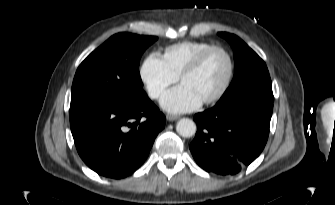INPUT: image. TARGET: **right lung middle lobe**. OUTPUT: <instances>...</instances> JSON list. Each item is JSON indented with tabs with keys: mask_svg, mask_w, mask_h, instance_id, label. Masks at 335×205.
<instances>
[{
	"mask_svg": "<svg viewBox=\"0 0 335 205\" xmlns=\"http://www.w3.org/2000/svg\"><path fill=\"white\" fill-rule=\"evenodd\" d=\"M155 36L118 33L94 50L78 67L71 105L88 100L129 101L144 94L139 73L141 55Z\"/></svg>",
	"mask_w": 335,
	"mask_h": 205,
	"instance_id": "1",
	"label": "right lung middle lobe"
}]
</instances>
